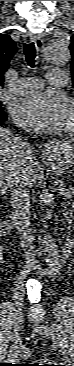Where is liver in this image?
I'll use <instances>...</instances> for the list:
<instances>
[{"mask_svg": "<svg viewBox=\"0 0 74 366\" xmlns=\"http://www.w3.org/2000/svg\"><path fill=\"white\" fill-rule=\"evenodd\" d=\"M21 166L29 186L42 176V168L33 152L27 159L21 149V138L5 128H0V193L4 194L10 186V179Z\"/></svg>", "mask_w": 74, "mask_h": 366, "instance_id": "6515ba94", "label": "liver"}]
</instances>
